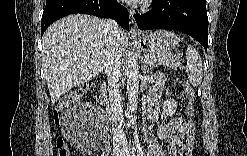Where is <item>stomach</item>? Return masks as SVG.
<instances>
[{"label":"stomach","instance_id":"stomach-1","mask_svg":"<svg viewBox=\"0 0 247 156\" xmlns=\"http://www.w3.org/2000/svg\"><path fill=\"white\" fill-rule=\"evenodd\" d=\"M139 40L146 51L156 54H170L179 44L178 35L166 30L143 34Z\"/></svg>","mask_w":247,"mask_h":156}]
</instances>
